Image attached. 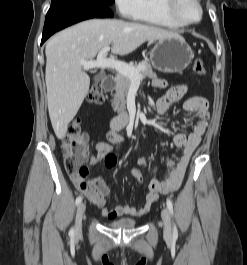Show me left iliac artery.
I'll return each mask as SVG.
<instances>
[{
	"mask_svg": "<svg viewBox=\"0 0 247 265\" xmlns=\"http://www.w3.org/2000/svg\"><path fill=\"white\" fill-rule=\"evenodd\" d=\"M166 204H167V207H168V209H169V212H170L171 214H173V204H172V201H171L170 199H167V200H166ZM173 238H174V239H177V238H178V231H177V228H176L175 225H174V227H173Z\"/></svg>",
	"mask_w": 247,
	"mask_h": 265,
	"instance_id": "left-iliac-artery-1",
	"label": "left iliac artery"
}]
</instances>
